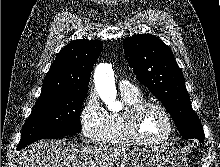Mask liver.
<instances>
[{
    "label": "liver",
    "mask_w": 220,
    "mask_h": 167,
    "mask_svg": "<svg viewBox=\"0 0 220 167\" xmlns=\"http://www.w3.org/2000/svg\"><path fill=\"white\" fill-rule=\"evenodd\" d=\"M129 149L40 140L23 149L18 167H113Z\"/></svg>",
    "instance_id": "6515ba94"
}]
</instances>
